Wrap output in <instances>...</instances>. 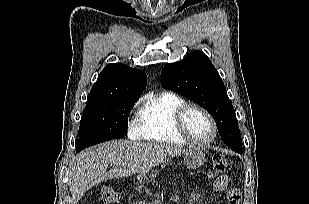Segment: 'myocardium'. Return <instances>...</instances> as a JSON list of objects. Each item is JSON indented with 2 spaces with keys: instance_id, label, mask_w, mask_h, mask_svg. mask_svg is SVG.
<instances>
[{
  "instance_id": "f54148a6",
  "label": "myocardium",
  "mask_w": 309,
  "mask_h": 204,
  "mask_svg": "<svg viewBox=\"0 0 309 204\" xmlns=\"http://www.w3.org/2000/svg\"><path fill=\"white\" fill-rule=\"evenodd\" d=\"M196 109L199 110L201 113L205 115V117L208 119L211 127H212V135L211 137L206 141H200L197 140L195 137L191 135L189 130L187 129L185 118L189 110ZM174 126L176 131L188 142L197 145V146H207L213 143L217 136V125L216 122L211 115V113L204 108L203 106L197 104V103H185L183 104L175 113L174 116Z\"/></svg>"
}]
</instances>
